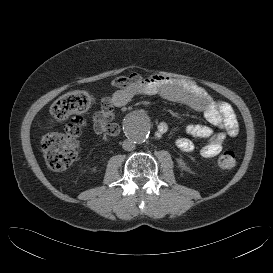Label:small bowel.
<instances>
[{
	"instance_id": "1",
	"label": "small bowel",
	"mask_w": 273,
	"mask_h": 273,
	"mask_svg": "<svg viewBox=\"0 0 273 273\" xmlns=\"http://www.w3.org/2000/svg\"><path fill=\"white\" fill-rule=\"evenodd\" d=\"M113 86L118 90L103 106L102 110L94 117L96 130L105 132L109 130V125L114 116V110L125 106L132 98L147 94L158 95L159 97L186 105L195 111L203 113L205 119L218 127L225 128L229 135L235 136L237 133L234 121L227 117L226 108L213 102L206 92L193 81L171 75H154L149 78H142L136 73L128 76L118 77L113 81ZM75 127L70 125L69 130ZM168 126L162 122L158 126L159 133H165ZM184 131L188 137L178 138L176 146L185 151L193 149L192 141L189 137L207 139L208 144L200 150L203 157H214L221 151L224 136L215 133L210 127L202 124L190 123L184 126Z\"/></svg>"
}]
</instances>
